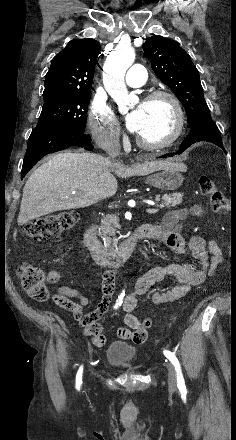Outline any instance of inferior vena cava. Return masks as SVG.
I'll return each mask as SVG.
<instances>
[{
	"mask_svg": "<svg viewBox=\"0 0 236 440\" xmlns=\"http://www.w3.org/2000/svg\"><path fill=\"white\" fill-rule=\"evenodd\" d=\"M120 143L118 140H114L111 144V147L108 150V154L110 158L114 161V159L120 154ZM116 162V161H115Z\"/></svg>",
	"mask_w": 236,
	"mask_h": 440,
	"instance_id": "inferior-vena-cava-1",
	"label": "inferior vena cava"
}]
</instances>
